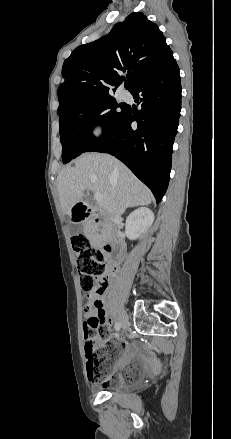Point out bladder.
Masks as SVG:
<instances>
[{
	"label": "bladder",
	"instance_id": "bladder-1",
	"mask_svg": "<svg viewBox=\"0 0 231 439\" xmlns=\"http://www.w3.org/2000/svg\"><path fill=\"white\" fill-rule=\"evenodd\" d=\"M128 364L124 366V371L126 375L133 376V377H140L144 373V365L143 362L137 358H131L128 360ZM99 391H105L108 393H115V392H131L133 390V387L131 385L126 386H118V387H99Z\"/></svg>",
	"mask_w": 231,
	"mask_h": 439
}]
</instances>
